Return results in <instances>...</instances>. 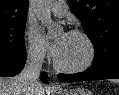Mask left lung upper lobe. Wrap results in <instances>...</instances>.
<instances>
[{
	"instance_id": "1",
	"label": "left lung upper lobe",
	"mask_w": 119,
	"mask_h": 95,
	"mask_svg": "<svg viewBox=\"0 0 119 95\" xmlns=\"http://www.w3.org/2000/svg\"><path fill=\"white\" fill-rule=\"evenodd\" d=\"M95 47L93 68L119 58V0H68Z\"/></svg>"
}]
</instances>
